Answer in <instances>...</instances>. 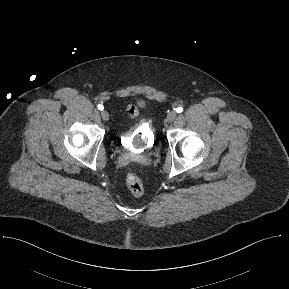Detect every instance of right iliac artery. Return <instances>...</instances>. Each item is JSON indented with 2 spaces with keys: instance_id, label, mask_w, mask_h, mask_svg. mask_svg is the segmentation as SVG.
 Here are the masks:
<instances>
[{
  "instance_id": "obj_1",
  "label": "right iliac artery",
  "mask_w": 289,
  "mask_h": 289,
  "mask_svg": "<svg viewBox=\"0 0 289 289\" xmlns=\"http://www.w3.org/2000/svg\"><path fill=\"white\" fill-rule=\"evenodd\" d=\"M98 109L100 110V111H102L103 109H104V107H103V105L102 104H98Z\"/></svg>"
}]
</instances>
